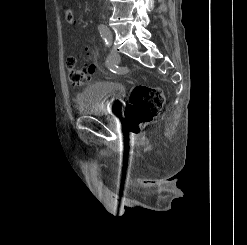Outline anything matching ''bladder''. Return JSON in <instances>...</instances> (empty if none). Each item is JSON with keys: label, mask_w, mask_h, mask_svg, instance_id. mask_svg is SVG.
<instances>
[{"label": "bladder", "mask_w": 247, "mask_h": 245, "mask_svg": "<svg viewBox=\"0 0 247 245\" xmlns=\"http://www.w3.org/2000/svg\"><path fill=\"white\" fill-rule=\"evenodd\" d=\"M126 93L123 84L116 81L96 80L77 95V109L81 115H105L120 109Z\"/></svg>", "instance_id": "1"}]
</instances>
